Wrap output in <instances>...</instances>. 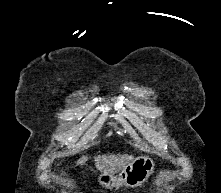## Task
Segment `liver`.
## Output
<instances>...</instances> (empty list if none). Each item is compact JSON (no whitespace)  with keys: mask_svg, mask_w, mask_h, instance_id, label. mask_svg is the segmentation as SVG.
Here are the masks:
<instances>
[{"mask_svg":"<svg viewBox=\"0 0 221 193\" xmlns=\"http://www.w3.org/2000/svg\"><path fill=\"white\" fill-rule=\"evenodd\" d=\"M86 160V157H82L78 160L77 164H82ZM134 160L132 155L127 154H110V155H98L95 157V166L100 172L115 174L121 171L127 164Z\"/></svg>","mask_w":221,"mask_h":193,"instance_id":"1","label":"liver"}]
</instances>
